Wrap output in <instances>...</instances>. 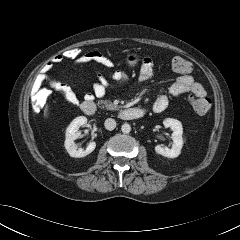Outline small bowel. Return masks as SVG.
<instances>
[{"instance_id": "1", "label": "small bowel", "mask_w": 240, "mask_h": 240, "mask_svg": "<svg viewBox=\"0 0 240 240\" xmlns=\"http://www.w3.org/2000/svg\"><path fill=\"white\" fill-rule=\"evenodd\" d=\"M62 61L63 59L60 54H57L45 63L33 81L31 92L32 94H36L44 83H48L51 87L60 91L68 103L79 105V99L71 87L50 77L53 67ZM89 62H96L106 68L114 67V62L97 50L89 51L85 54L83 64ZM153 68V60L150 57H145L140 69L139 80L141 82L150 80L153 76ZM96 77L97 79L93 84V92L86 93L84 96L85 100H92L94 97L102 98L109 88L121 86L127 80V74L120 70L110 71L107 76L97 73ZM109 80H112L114 84H111ZM44 91L48 94L47 90ZM188 92L198 97H206L207 95L204 87L199 82L191 75L183 74L175 80L166 93L160 94L155 99L152 104V110L155 113H161L167 108L170 97H179Z\"/></svg>"}]
</instances>
